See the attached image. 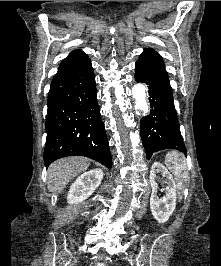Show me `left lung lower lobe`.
<instances>
[{
	"label": "left lung lower lobe",
	"mask_w": 221,
	"mask_h": 266,
	"mask_svg": "<svg viewBox=\"0 0 221 266\" xmlns=\"http://www.w3.org/2000/svg\"><path fill=\"white\" fill-rule=\"evenodd\" d=\"M134 77L137 82L146 83L149 89L152 109L150 114L140 121L141 138L147 159H150L154 152L164 149H176L186 154L167 71L137 61Z\"/></svg>",
	"instance_id": "left-lung-lower-lobe-1"
}]
</instances>
